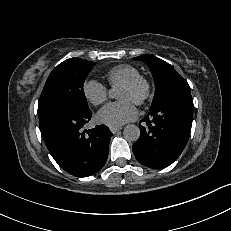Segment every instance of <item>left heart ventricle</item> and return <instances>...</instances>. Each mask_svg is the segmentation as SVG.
I'll return each instance as SVG.
<instances>
[{"instance_id":"1","label":"left heart ventricle","mask_w":231,"mask_h":231,"mask_svg":"<svg viewBox=\"0 0 231 231\" xmlns=\"http://www.w3.org/2000/svg\"><path fill=\"white\" fill-rule=\"evenodd\" d=\"M138 96H139L138 90L129 89V88H126L123 86H121L119 93H118V98L120 100L127 99V100L134 102V103H135Z\"/></svg>"}]
</instances>
